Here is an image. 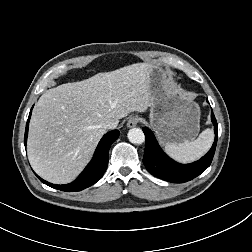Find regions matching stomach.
<instances>
[{
	"label": "stomach",
	"instance_id": "1",
	"mask_svg": "<svg viewBox=\"0 0 252 252\" xmlns=\"http://www.w3.org/2000/svg\"><path fill=\"white\" fill-rule=\"evenodd\" d=\"M152 96L150 125L162 144L192 141L199 132L200 108L172 87L167 73L155 66L149 70Z\"/></svg>",
	"mask_w": 252,
	"mask_h": 252
}]
</instances>
